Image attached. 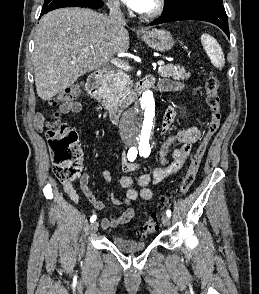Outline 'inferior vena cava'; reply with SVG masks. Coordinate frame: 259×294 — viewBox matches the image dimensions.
Segmentation results:
<instances>
[{"mask_svg":"<svg viewBox=\"0 0 259 294\" xmlns=\"http://www.w3.org/2000/svg\"><path fill=\"white\" fill-rule=\"evenodd\" d=\"M110 14H109V21L112 26L116 29H123L126 25L125 19L120 9L119 3H113L109 6Z\"/></svg>","mask_w":259,"mask_h":294,"instance_id":"inferior-vena-cava-1","label":"inferior vena cava"}]
</instances>
